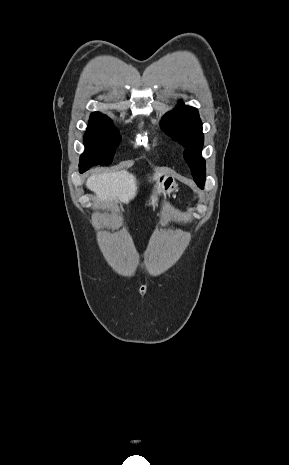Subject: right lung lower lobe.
Instances as JSON below:
<instances>
[{
	"instance_id": "obj_1",
	"label": "right lung lower lobe",
	"mask_w": 289,
	"mask_h": 465,
	"mask_svg": "<svg viewBox=\"0 0 289 465\" xmlns=\"http://www.w3.org/2000/svg\"><path fill=\"white\" fill-rule=\"evenodd\" d=\"M79 171H80V173H83V172H84V171H83V170H81V169H80Z\"/></svg>"
}]
</instances>
